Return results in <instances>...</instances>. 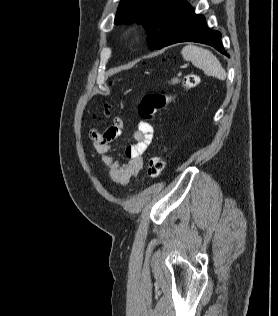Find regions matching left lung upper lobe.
I'll return each instance as SVG.
<instances>
[{
  "mask_svg": "<svg viewBox=\"0 0 278 316\" xmlns=\"http://www.w3.org/2000/svg\"><path fill=\"white\" fill-rule=\"evenodd\" d=\"M188 7L186 0H122L114 23L142 24L147 30L149 48L161 49L174 34Z\"/></svg>",
  "mask_w": 278,
  "mask_h": 316,
  "instance_id": "5c2ea615",
  "label": "left lung upper lobe"
}]
</instances>
